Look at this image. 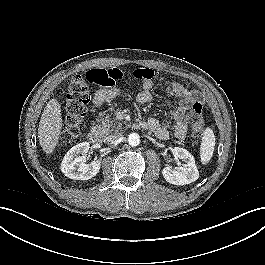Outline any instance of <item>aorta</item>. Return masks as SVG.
I'll return each mask as SVG.
<instances>
[{"instance_id":"762f6f07","label":"aorta","mask_w":265,"mask_h":265,"mask_svg":"<svg viewBox=\"0 0 265 265\" xmlns=\"http://www.w3.org/2000/svg\"><path fill=\"white\" fill-rule=\"evenodd\" d=\"M128 143L131 146H137L140 143V136L137 133H131L128 137Z\"/></svg>"}]
</instances>
